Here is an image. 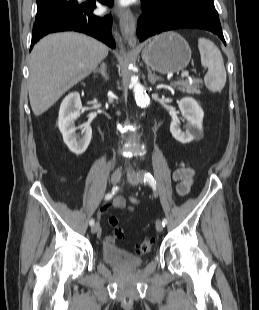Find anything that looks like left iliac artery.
I'll list each match as a JSON object with an SVG mask.
<instances>
[{"mask_svg": "<svg viewBox=\"0 0 259 310\" xmlns=\"http://www.w3.org/2000/svg\"><path fill=\"white\" fill-rule=\"evenodd\" d=\"M138 175L141 179H143L144 183H148L153 188L154 191L156 190V181L154 180L153 176L149 172L142 171V172H139ZM167 222H168L167 219L164 218L162 220V225L165 226Z\"/></svg>", "mask_w": 259, "mask_h": 310, "instance_id": "left-iliac-artery-1", "label": "left iliac artery"}]
</instances>
